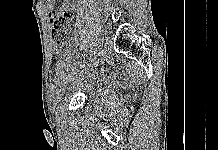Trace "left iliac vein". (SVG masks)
Wrapping results in <instances>:
<instances>
[{
    "mask_svg": "<svg viewBox=\"0 0 218 150\" xmlns=\"http://www.w3.org/2000/svg\"><path fill=\"white\" fill-rule=\"evenodd\" d=\"M105 49H106V48H105L104 46H102V47L100 48V50L98 51L99 53L97 54V57H98V58H101V57H102V54H101V53H102ZM96 63L99 65L101 62L98 60ZM96 63H94V65H96ZM87 71H88V72H86V71H80V73H76V76H72V77H71V80H72V81H76L77 78H81V76H86V75L89 76L93 70H92L91 68H89ZM67 85H68V86H71V85H72V82H71V81H68V82H67ZM63 90L66 92L68 89L65 87Z\"/></svg>",
    "mask_w": 218,
    "mask_h": 150,
    "instance_id": "4c4485c4",
    "label": "left iliac vein"
}]
</instances>
